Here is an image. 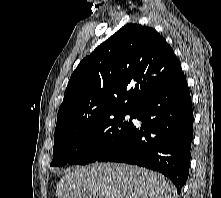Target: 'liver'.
<instances>
[{"label":"liver","instance_id":"liver-1","mask_svg":"<svg viewBox=\"0 0 221 198\" xmlns=\"http://www.w3.org/2000/svg\"><path fill=\"white\" fill-rule=\"evenodd\" d=\"M172 198L170 182L143 167L95 163L68 171L58 182V198Z\"/></svg>","mask_w":221,"mask_h":198}]
</instances>
